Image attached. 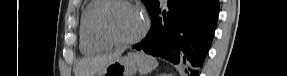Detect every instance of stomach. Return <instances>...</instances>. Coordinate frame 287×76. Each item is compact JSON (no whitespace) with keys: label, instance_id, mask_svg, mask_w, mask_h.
Segmentation results:
<instances>
[{"label":"stomach","instance_id":"stomach-1","mask_svg":"<svg viewBox=\"0 0 287 76\" xmlns=\"http://www.w3.org/2000/svg\"><path fill=\"white\" fill-rule=\"evenodd\" d=\"M137 62L131 56L119 57L111 61L98 76H134Z\"/></svg>","mask_w":287,"mask_h":76}]
</instances>
